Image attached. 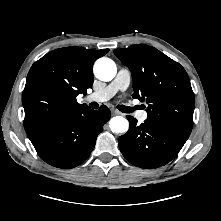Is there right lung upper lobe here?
I'll list each match as a JSON object with an SVG mask.
<instances>
[{
    "label": "right lung upper lobe",
    "mask_w": 221,
    "mask_h": 221,
    "mask_svg": "<svg viewBox=\"0 0 221 221\" xmlns=\"http://www.w3.org/2000/svg\"><path fill=\"white\" fill-rule=\"evenodd\" d=\"M109 50L67 47L53 50L35 62L22 94L24 128L58 120L69 112L86 107L76 101L94 81L93 63Z\"/></svg>",
    "instance_id": "obj_1"
}]
</instances>
